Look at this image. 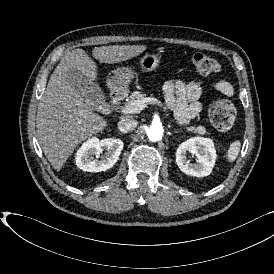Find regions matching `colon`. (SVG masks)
<instances>
[{
	"label": "colon",
	"instance_id": "obj_1",
	"mask_svg": "<svg viewBox=\"0 0 274 274\" xmlns=\"http://www.w3.org/2000/svg\"><path fill=\"white\" fill-rule=\"evenodd\" d=\"M192 63L198 73L205 76L217 75L221 71L219 62L205 53H196ZM208 117L213 127L219 131H230L236 122L235 105L226 99L215 101L209 109Z\"/></svg>",
	"mask_w": 274,
	"mask_h": 274
}]
</instances>
